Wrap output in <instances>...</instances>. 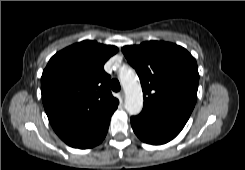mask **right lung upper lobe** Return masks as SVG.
Returning a JSON list of instances; mask_svg holds the SVG:
<instances>
[{
    "instance_id": "obj_1",
    "label": "right lung upper lobe",
    "mask_w": 245,
    "mask_h": 170,
    "mask_svg": "<svg viewBox=\"0 0 245 170\" xmlns=\"http://www.w3.org/2000/svg\"><path fill=\"white\" fill-rule=\"evenodd\" d=\"M118 48L82 41L56 53L41 77L42 101L57 135L83 148L109 125L119 101L112 96L105 62Z\"/></svg>"
}]
</instances>
